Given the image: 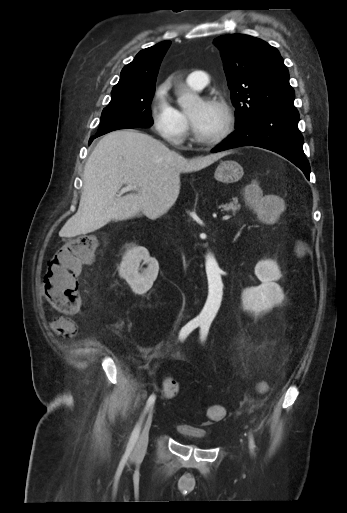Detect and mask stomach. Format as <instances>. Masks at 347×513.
Wrapping results in <instances>:
<instances>
[{
    "mask_svg": "<svg viewBox=\"0 0 347 513\" xmlns=\"http://www.w3.org/2000/svg\"><path fill=\"white\" fill-rule=\"evenodd\" d=\"M244 175L243 167L234 160L220 162L214 173V178L222 183L230 184L239 181Z\"/></svg>",
    "mask_w": 347,
    "mask_h": 513,
    "instance_id": "obj_1",
    "label": "stomach"
}]
</instances>
